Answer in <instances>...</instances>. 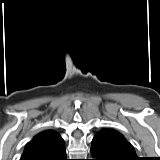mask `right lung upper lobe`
Returning a JSON list of instances; mask_svg holds the SVG:
<instances>
[{"instance_id":"right-lung-upper-lobe-1","label":"right lung upper lobe","mask_w":160,"mask_h":160,"mask_svg":"<svg viewBox=\"0 0 160 160\" xmlns=\"http://www.w3.org/2000/svg\"><path fill=\"white\" fill-rule=\"evenodd\" d=\"M64 148V141L57 132L45 130L27 143L20 160H48Z\"/></svg>"}]
</instances>
